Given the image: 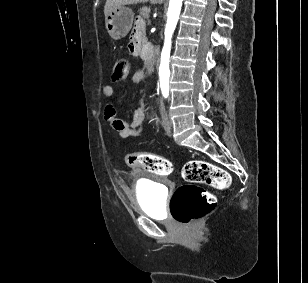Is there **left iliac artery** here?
Instances as JSON below:
<instances>
[{
	"label": "left iliac artery",
	"instance_id": "44dca946",
	"mask_svg": "<svg viewBox=\"0 0 308 283\" xmlns=\"http://www.w3.org/2000/svg\"><path fill=\"white\" fill-rule=\"evenodd\" d=\"M163 96H164V98H167L168 97V92H163Z\"/></svg>",
	"mask_w": 308,
	"mask_h": 283
}]
</instances>
